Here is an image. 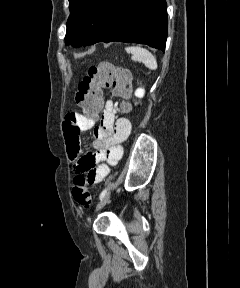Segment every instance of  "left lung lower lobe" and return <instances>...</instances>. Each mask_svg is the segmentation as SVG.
I'll return each mask as SVG.
<instances>
[{
  "mask_svg": "<svg viewBox=\"0 0 240 288\" xmlns=\"http://www.w3.org/2000/svg\"><path fill=\"white\" fill-rule=\"evenodd\" d=\"M166 35L165 0H109L100 22L84 45L117 41L164 50Z\"/></svg>",
  "mask_w": 240,
  "mask_h": 288,
  "instance_id": "obj_1",
  "label": "left lung lower lobe"
}]
</instances>
